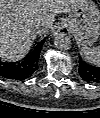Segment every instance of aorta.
<instances>
[{"mask_svg": "<svg viewBox=\"0 0 100 118\" xmlns=\"http://www.w3.org/2000/svg\"><path fill=\"white\" fill-rule=\"evenodd\" d=\"M54 44L57 49L66 51L71 47V39L66 33H59L55 39Z\"/></svg>", "mask_w": 100, "mask_h": 118, "instance_id": "762f6f07", "label": "aorta"}]
</instances>
